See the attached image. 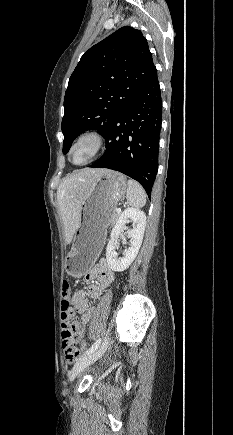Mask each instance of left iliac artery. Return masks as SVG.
I'll return each mask as SVG.
<instances>
[{"instance_id":"obj_1","label":"left iliac artery","mask_w":233,"mask_h":435,"mask_svg":"<svg viewBox=\"0 0 233 435\" xmlns=\"http://www.w3.org/2000/svg\"><path fill=\"white\" fill-rule=\"evenodd\" d=\"M100 342H101V339H99V340H97L94 344H92V346L84 353L85 355L86 354H90V353H92L93 351H95L97 348H98V346H99V344H100Z\"/></svg>"}]
</instances>
